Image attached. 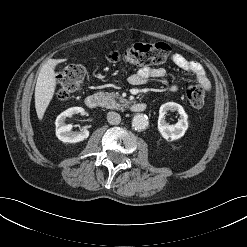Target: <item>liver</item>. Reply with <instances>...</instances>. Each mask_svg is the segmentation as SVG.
Wrapping results in <instances>:
<instances>
[{
  "instance_id": "1",
  "label": "liver",
  "mask_w": 247,
  "mask_h": 247,
  "mask_svg": "<svg viewBox=\"0 0 247 247\" xmlns=\"http://www.w3.org/2000/svg\"><path fill=\"white\" fill-rule=\"evenodd\" d=\"M65 59H50L40 70L35 87V108L39 120L51 102L56 89L55 67Z\"/></svg>"
}]
</instances>
